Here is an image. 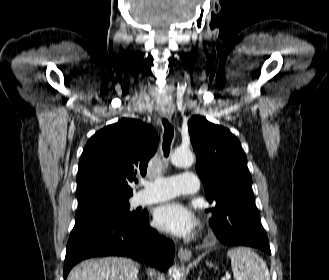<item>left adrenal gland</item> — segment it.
Returning a JSON list of instances; mask_svg holds the SVG:
<instances>
[{
  "label": "left adrenal gland",
  "instance_id": "left-adrenal-gland-1",
  "mask_svg": "<svg viewBox=\"0 0 329 280\" xmlns=\"http://www.w3.org/2000/svg\"><path fill=\"white\" fill-rule=\"evenodd\" d=\"M201 275H202V271H200L198 279L197 280H201Z\"/></svg>",
  "mask_w": 329,
  "mask_h": 280
}]
</instances>
